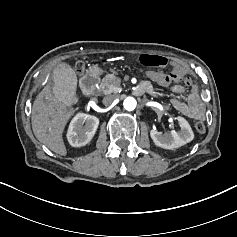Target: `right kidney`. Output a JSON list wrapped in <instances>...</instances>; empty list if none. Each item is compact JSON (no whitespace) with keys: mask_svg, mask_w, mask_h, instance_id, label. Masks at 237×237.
Wrapping results in <instances>:
<instances>
[{"mask_svg":"<svg viewBox=\"0 0 237 237\" xmlns=\"http://www.w3.org/2000/svg\"><path fill=\"white\" fill-rule=\"evenodd\" d=\"M99 119L92 115L79 114L68 128L67 139L71 146L81 147L90 142L98 127Z\"/></svg>","mask_w":237,"mask_h":237,"instance_id":"right-kidney-1","label":"right kidney"}]
</instances>
